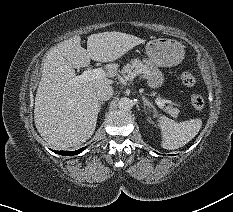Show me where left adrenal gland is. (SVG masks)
Instances as JSON below:
<instances>
[{
    "label": "left adrenal gland",
    "mask_w": 233,
    "mask_h": 212,
    "mask_svg": "<svg viewBox=\"0 0 233 212\" xmlns=\"http://www.w3.org/2000/svg\"><path fill=\"white\" fill-rule=\"evenodd\" d=\"M142 101L144 105L147 106L148 108L152 107L151 103L147 100L145 96H142Z\"/></svg>",
    "instance_id": "a2214340"
}]
</instances>
